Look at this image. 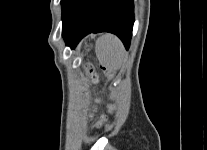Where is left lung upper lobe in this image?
<instances>
[{"mask_svg": "<svg viewBox=\"0 0 207 150\" xmlns=\"http://www.w3.org/2000/svg\"><path fill=\"white\" fill-rule=\"evenodd\" d=\"M66 0H61V4L63 5Z\"/></svg>", "mask_w": 207, "mask_h": 150, "instance_id": "left-lung-upper-lobe-1", "label": "left lung upper lobe"}]
</instances>
